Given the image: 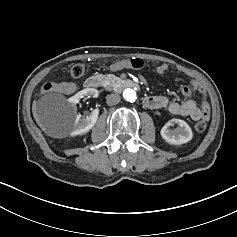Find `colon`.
<instances>
[{"label":"colon","instance_id":"obj_1","mask_svg":"<svg viewBox=\"0 0 237 237\" xmlns=\"http://www.w3.org/2000/svg\"><path fill=\"white\" fill-rule=\"evenodd\" d=\"M144 63L142 59L134 58L129 60V67L132 69H141L143 67ZM71 75L75 78L81 77L85 72V67L82 63H76L74 64L70 69ZM52 89V83H46L41 87V93H47L50 92ZM207 128V123L205 120H201L196 123L195 129L198 132H204Z\"/></svg>","mask_w":237,"mask_h":237}]
</instances>
